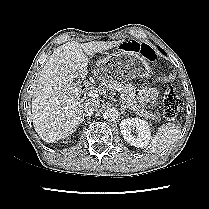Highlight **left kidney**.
Returning a JSON list of instances; mask_svg holds the SVG:
<instances>
[{"instance_id":"5707ae66","label":"left kidney","mask_w":209,"mask_h":209,"mask_svg":"<svg viewBox=\"0 0 209 209\" xmlns=\"http://www.w3.org/2000/svg\"><path fill=\"white\" fill-rule=\"evenodd\" d=\"M123 138L132 146L146 148L151 140V128L146 120L140 118H126L120 124ZM136 131L137 135L132 132Z\"/></svg>"}]
</instances>
